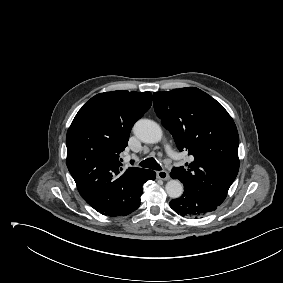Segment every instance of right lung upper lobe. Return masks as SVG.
I'll use <instances>...</instances> for the list:
<instances>
[{"instance_id": "right-lung-upper-lobe-1", "label": "right lung upper lobe", "mask_w": 283, "mask_h": 283, "mask_svg": "<svg viewBox=\"0 0 283 283\" xmlns=\"http://www.w3.org/2000/svg\"><path fill=\"white\" fill-rule=\"evenodd\" d=\"M151 104L150 92L101 93L78 111L68 129V170L84 200L102 214L122 215L140 200L150 170L124 171L119 155Z\"/></svg>"}]
</instances>
